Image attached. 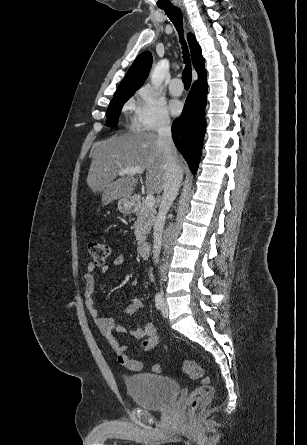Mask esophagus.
<instances>
[{"mask_svg": "<svg viewBox=\"0 0 307 445\" xmlns=\"http://www.w3.org/2000/svg\"><path fill=\"white\" fill-rule=\"evenodd\" d=\"M178 6H180V8H182V5H181V4H179Z\"/></svg>", "mask_w": 307, "mask_h": 445, "instance_id": "1", "label": "esophagus"}]
</instances>
